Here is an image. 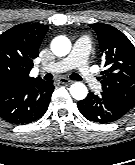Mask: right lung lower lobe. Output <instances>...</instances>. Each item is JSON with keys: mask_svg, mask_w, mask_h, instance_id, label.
<instances>
[{"mask_svg": "<svg viewBox=\"0 0 135 165\" xmlns=\"http://www.w3.org/2000/svg\"><path fill=\"white\" fill-rule=\"evenodd\" d=\"M52 82L11 83L0 87V117L14 124L41 118L51 99Z\"/></svg>", "mask_w": 135, "mask_h": 165, "instance_id": "obj_1", "label": "right lung lower lobe"}]
</instances>
